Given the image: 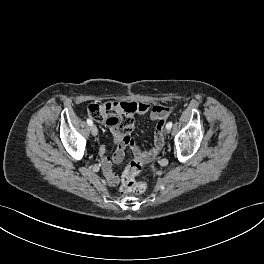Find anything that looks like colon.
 Segmentation results:
<instances>
[{
    "label": "colon",
    "instance_id": "5ec220e1",
    "mask_svg": "<svg viewBox=\"0 0 264 264\" xmlns=\"http://www.w3.org/2000/svg\"><path fill=\"white\" fill-rule=\"evenodd\" d=\"M137 106L133 103H117L107 102L100 104H90L88 106V114L91 118L98 122H105L112 130L126 133L133 129L134 117ZM164 124L165 121L157 122L154 134V143L162 146L164 143ZM145 155H137L125 167L120 190L123 193H142L146 189L144 182L137 181L144 165Z\"/></svg>",
    "mask_w": 264,
    "mask_h": 264
}]
</instances>
